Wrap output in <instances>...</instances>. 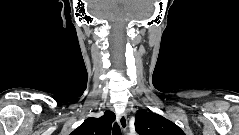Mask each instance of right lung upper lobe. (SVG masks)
Returning <instances> with one entry per match:
<instances>
[{
  "mask_svg": "<svg viewBox=\"0 0 239 135\" xmlns=\"http://www.w3.org/2000/svg\"><path fill=\"white\" fill-rule=\"evenodd\" d=\"M115 114L106 110L100 118H87L70 135H110Z\"/></svg>",
  "mask_w": 239,
  "mask_h": 135,
  "instance_id": "1",
  "label": "right lung upper lobe"
}]
</instances>
